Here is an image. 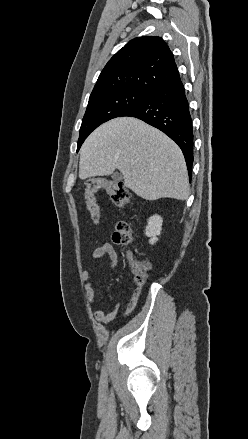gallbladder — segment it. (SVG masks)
<instances>
[{
  "mask_svg": "<svg viewBox=\"0 0 248 439\" xmlns=\"http://www.w3.org/2000/svg\"><path fill=\"white\" fill-rule=\"evenodd\" d=\"M111 177L113 180H117V181L122 179V175L118 172L113 173Z\"/></svg>",
  "mask_w": 248,
  "mask_h": 439,
  "instance_id": "bac80fb5",
  "label": "gallbladder"
}]
</instances>
